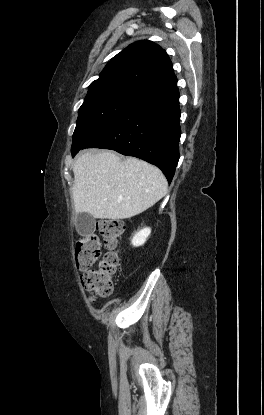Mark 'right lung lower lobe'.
<instances>
[{"label":"right lung lower lobe","instance_id":"1","mask_svg":"<svg viewBox=\"0 0 264 415\" xmlns=\"http://www.w3.org/2000/svg\"><path fill=\"white\" fill-rule=\"evenodd\" d=\"M177 86L141 100L81 148L112 149L159 167L171 182L179 160L180 128ZM72 150L73 156L81 149Z\"/></svg>","mask_w":264,"mask_h":415}]
</instances>
